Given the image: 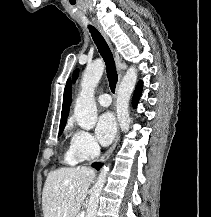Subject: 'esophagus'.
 Segmentation results:
<instances>
[{"instance_id": "1", "label": "esophagus", "mask_w": 211, "mask_h": 217, "mask_svg": "<svg viewBox=\"0 0 211 217\" xmlns=\"http://www.w3.org/2000/svg\"><path fill=\"white\" fill-rule=\"evenodd\" d=\"M92 21L95 25V27L98 29V31L101 33V35L103 36V38L105 39V41L107 42V44L109 45V47L111 48V50L113 51V46H112V43L107 35V33L105 32V30L102 28V26L100 25V23L92 18ZM114 52V51H113ZM114 56H115V60L116 62H119V56L114 52ZM122 76H123V73L122 71H119L118 72V81H117V89L119 88L120 86V83H121V80H122ZM119 136H120V131H119V126H117V132H116V136L114 138V141L112 143V145L110 146V148L100 157L99 161H105L110 155L111 153L114 151L117 143H118V140H119Z\"/></svg>"}]
</instances>
